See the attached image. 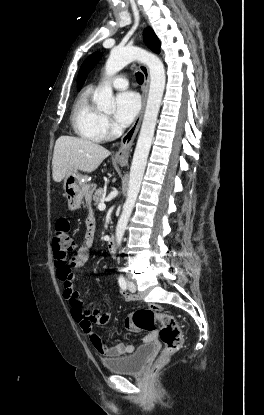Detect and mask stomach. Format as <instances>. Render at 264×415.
<instances>
[{
	"instance_id": "stomach-1",
	"label": "stomach",
	"mask_w": 264,
	"mask_h": 415,
	"mask_svg": "<svg viewBox=\"0 0 264 415\" xmlns=\"http://www.w3.org/2000/svg\"><path fill=\"white\" fill-rule=\"evenodd\" d=\"M95 186L89 184L85 177L77 172L70 170L64 177L63 189L67 199L68 207L71 211L78 210L81 207L83 199L89 200Z\"/></svg>"
}]
</instances>
